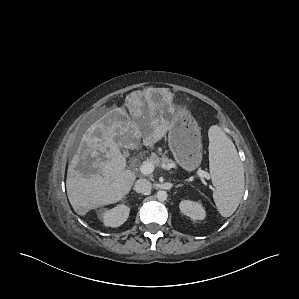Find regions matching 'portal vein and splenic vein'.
Wrapping results in <instances>:
<instances>
[{"mask_svg":"<svg viewBox=\"0 0 299 299\" xmlns=\"http://www.w3.org/2000/svg\"><path fill=\"white\" fill-rule=\"evenodd\" d=\"M163 168H168L166 165L162 166ZM154 170V166L151 163H146L140 166V172L144 175L151 174ZM197 175L200 178H209V174L205 171H198Z\"/></svg>","mask_w":299,"mask_h":299,"instance_id":"obj_1","label":"portal vein and splenic vein"}]
</instances>
